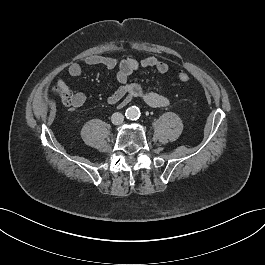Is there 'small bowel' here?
Segmentation results:
<instances>
[{
	"mask_svg": "<svg viewBox=\"0 0 265 265\" xmlns=\"http://www.w3.org/2000/svg\"><path fill=\"white\" fill-rule=\"evenodd\" d=\"M83 63L88 66H101L109 70H117L116 79L119 86L107 99L111 105L119 104L120 107H125L134 98L141 99L152 107H166L170 104V100L165 95L161 84L157 88L150 90L128 81L129 76L140 67L155 68L161 74L167 73L169 65L160 57L147 56L140 60L135 58L117 60L112 57L93 54L85 57ZM67 71L70 76L79 77L83 73V68L78 63H72L68 66ZM57 86L63 91H69V87L61 78L57 80ZM85 101L86 96L82 92H76L72 95L71 106L73 108H80Z\"/></svg>",
	"mask_w": 265,
	"mask_h": 265,
	"instance_id": "small-bowel-1",
	"label": "small bowel"
}]
</instances>
